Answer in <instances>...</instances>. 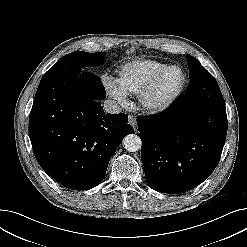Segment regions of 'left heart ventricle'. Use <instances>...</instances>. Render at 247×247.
Returning <instances> with one entry per match:
<instances>
[{
	"label": "left heart ventricle",
	"instance_id": "1",
	"mask_svg": "<svg viewBox=\"0 0 247 247\" xmlns=\"http://www.w3.org/2000/svg\"><path fill=\"white\" fill-rule=\"evenodd\" d=\"M181 82V74L178 71L169 72L162 81V92H168L176 88Z\"/></svg>",
	"mask_w": 247,
	"mask_h": 247
}]
</instances>
